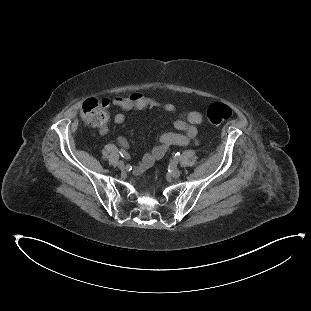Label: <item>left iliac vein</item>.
<instances>
[{"label":"left iliac vein","instance_id":"obj_1","mask_svg":"<svg viewBox=\"0 0 311 311\" xmlns=\"http://www.w3.org/2000/svg\"><path fill=\"white\" fill-rule=\"evenodd\" d=\"M181 174V171L177 168H174L171 170V173L170 175L173 177V178H178Z\"/></svg>","mask_w":311,"mask_h":311}]
</instances>
